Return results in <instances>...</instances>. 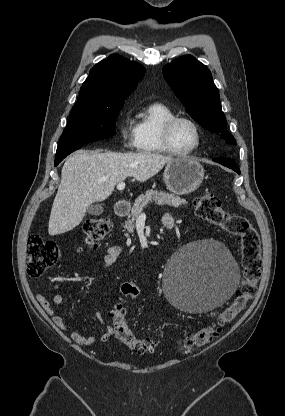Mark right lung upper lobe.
Here are the masks:
<instances>
[{
    "label": "right lung upper lobe",
    "mask_w": 285,
    "mask_h": 416,
    "mask_svg": "<svg viewBox=\"0 0 285 416\" xmlns=\"http://www.w3.org/2000/svg\"><path fill=\"white\" fill-rule=\"evenodd\" d=\"M144 73L145 68L139 63L112 54L90 70L76 103L102 105L124 102Z\"/></svg>",
    "instance_id": "obj_1"
}]
</instances>
